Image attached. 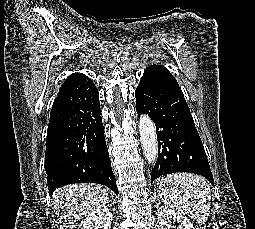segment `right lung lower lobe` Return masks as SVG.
I'll return each mask as SVG.
<instances>
[{
    "mask_svg": "<svg viewBox=\"0 0 255 229\" xmlns=\"http://www.w3.org/2000/svg\"><path fill=\"white\" fill-rule=\"evenodd\" d=\"M99 95L84 74L62 84L48 126L45 170L50 195L58 187L92 182L118 193L104 137Z\"/></svg>",
    "mask_w": 255,
    "mask_h": 229,
    "instance_id": "1",
    "label": "right lung lower lobe"
}]
</instances>
